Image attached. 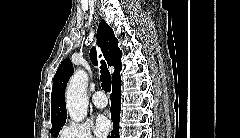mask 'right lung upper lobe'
Wrapping results in <instances>:
<instances>
[{
  "mask_svg": "<svg viewBox=\"0 0 240 138\" xmlns=\"http://www.w3.org/2000/svg\"><path fill=\"white\" fill-rule=\"evenodd\" d=\"M97 41L109 66H114L112 83L121 79L120 71L122 68V52L117 47L118 40L114 36L112 29L105 21H101L97 31ZM90 58L94 65H97L96 50L93 47ZM74 69L69 58L65 59L57 69L53 79L52 103H51V122L52 126L64 124L67 111L65 105V89L67 82Z\"/></svg>",
  "mask_w": 240,
  "mask_h": 138,
  "instance_id": "obj_1",
  "label": "right lung upper lobe"
}]
</instances>
